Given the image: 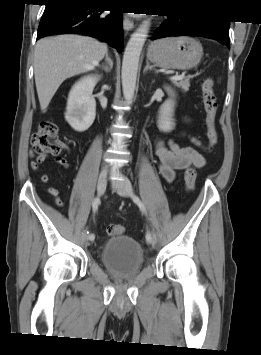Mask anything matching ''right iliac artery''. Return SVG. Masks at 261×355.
Masks as SVG:
<instances>
[{
  "instance_id": "right-iliac-artery-1",
  "label": "right iliac artery",
  "mask_w": 261,
  "mask_h": 355,
  "mask_svg": "<svg viewBox=\"0 0 261 355\" xmlns=\"http://www.w3.org/2000/svg\"><path fill=\"white\" fill-rule=\"evenodd\" d=\"M100 204V199L98 197H96L94 200H93V203H92V209H93V212L96 213L97 210H98V206ZM86 234H88L89 232L85 231ZM89 240L93 241L95 239V236L94 234H89Z\"/></svg>"
}]
</instances>
